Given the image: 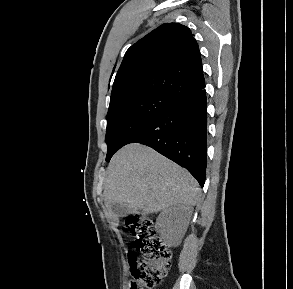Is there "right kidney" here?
<instances>
[{
    "label": "right kidney",
    "instance_id": "right-kidney-1",
    "mask_svg": "<svg viewBox=\"0 0 293 289\" xmlns=\"http://www.w3.org/2000/svg\"><path fill=\"white\" fill-rule=\"evenodd\" d=\"M191 216L190 208L183 205H175L163 210L156 221V228L162 238L169 245H177L181 242Z\"/></svg>",
    "mask_w": 293,
    "mask_h": 289
}]
</instances>
